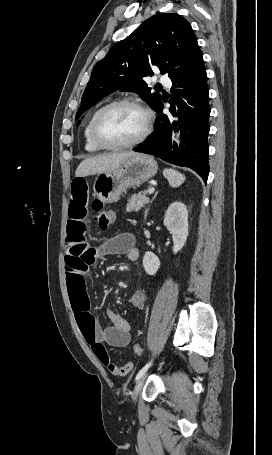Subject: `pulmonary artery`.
Returning a JSON list of instances; mask_svg holds the SVG:
<instances>
[{
    "instance_id": "1",
    "label": "pulmonary artery",
    "mask_w": 272,
    "mask_h": 455,
    "mask_svg": "<svg viewBox=\"0 0 272 455\" xmlns=\"http://www.w3.org/2000/svg\"><path fill=\"white\" fill-rule=\"evenodd\" d=\"M159 82L162 83L163 85H166V86H170L171 85V80L166 75H161L159 77Z\"/></svg>"
}]
</instances>
